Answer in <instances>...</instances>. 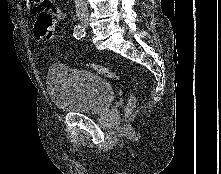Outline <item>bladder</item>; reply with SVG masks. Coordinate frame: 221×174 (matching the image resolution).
<instances>
[{"instance_id": "1", "label": "bladder", "mask_w": 221, "mask_h": 174, "mask_svg": "<svg viewBox=\"0 0 221 174\" xmlns=\"http://www.w3.org/2000/svg\"><path fill=\"white\" fill-rule=\"evenodd\" d=\"M46 86L51 102L64 111L97 114L114 100L113 87L104 77L65 64L48 69Z\"/></svg>"}]
</instances>
